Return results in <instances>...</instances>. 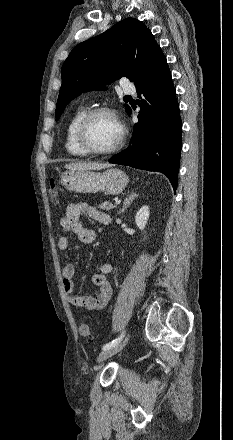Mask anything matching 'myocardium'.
<instances>
[{"mask_svg": "<svg viewBox=\"0 0 233 440\" xmlns=\"http://www.w3.org/2000/svg\"><path fill=\"white\" fill-rule=\"evenodd\" d=\"M103 114L111 116L116 121L120 129V134L117 142L111 148L106 150H98V149H94L87 143L86 133H87V128L90 122L92 121V119L98 115H103ZM125 138H126V129L124 125L120 121L116 111L108 107H97L88 110L83 115L76 128V142L78 146L81 148V150L88 155L107 156L114 154L122 148Z\"/></svg>", "mask_w": 233, "mask_h": 440, "instance_id": "myocardium-1", "label": "myocardium"}]
</instances>
